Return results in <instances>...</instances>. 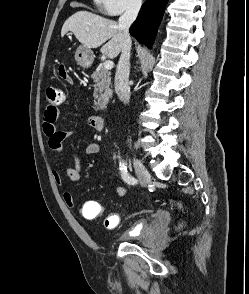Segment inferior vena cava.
<instances>
[{"instance_id": "1", "label": "inferior vena cava", "mask_w": 249, "mask_h": 294, "mask_svg": "<svg viewBox=\"0 0 249 294\" xmlns=\"http://www.w3.org/2000/svg\"><path fill=\"white\" fill-rule=\"evenodd\" d=\"M142 0H132L128 5L126 11L119 18L118 26L123 34V44L120 59L115 73V92L118 98L125 104L130 100V50L131 38L129 35V28L136 19L141 8Z\"/></svg>"}]
</instances>
